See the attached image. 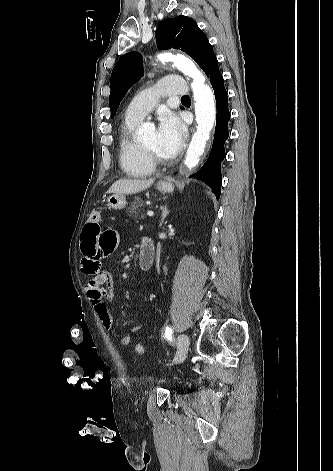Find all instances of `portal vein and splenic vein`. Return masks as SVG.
<instances>
[{
  "mask_svg": "<svg viewBox=\"0 0 333 471\" xmlns=\"http://www.w3.org/2000/svg\"><path fill=\"white\" fill-rule=\"evenodd\" d=\"M147 215H148L149 217H153V216H154V212H153V211H148V212H147Z\"/></svg>",
  "mask_w": 333,
  "mask_h": 471,
  "instance_id": "18ae733b",
  "label": "portal vein and splenic vein"
}]
</instances>
